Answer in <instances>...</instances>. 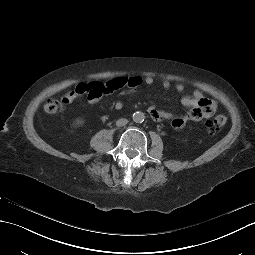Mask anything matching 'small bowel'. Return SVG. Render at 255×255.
<instances>
[{"label": "small bowel", "instance_id": "1", "mask_svg": "<svg viewBox=\"0 0 255 255\" xmlns=\"http://www.w3.org/2000/svg\"><path fill=\"white\" fill-rule=\"evenodd\" d=\"M154 79L151 76L140 77H116L107 82L90 81L78 83L71 91L67 92L62 97L64 104H69L75 99L86 96L91 103H97L103 96L111 94L119 89L128 88L130 91L137 89L139 86L152 85ZM162 87L169 89L171 82L169 80L162 81ZM179 93L183 92L185 87L182 83H177L174 86ZM183 106L189 108L187 114L174 117L171 120V125L174 129H182L188 121H199L203 118H210L216 111L217 105L214 101L205 98L201 92L195 91L191 95H186L182 98ZM123 103L120 100L114 102V108L121 109ZM148 113L156 120H162L170 117L168 113L159 110L156 107H149Z\"/></svg>", "mask_w": 255, "mask_h": 255}]
</instances>
